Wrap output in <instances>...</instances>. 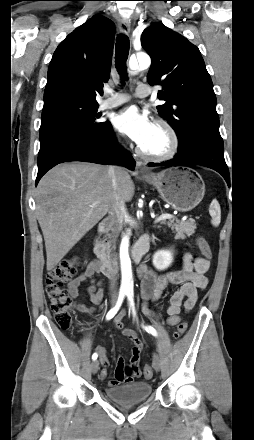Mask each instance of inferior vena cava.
I'll return each instance as SVG.
<instances>
[{
    "instance_id": "602c4592",
    "label": "inferior vena cava",
    "mask_w": 254,
    "mask_h": 440,
    "mask_svg": "<svg viewBox=\"0 0 254 440\" xmlns=\"http://www.w3.org/2000/svg\"><path fill=\"white\" fill-rule=\"evenodd\" d=\"M119 172H120V168L116 166H110L108 169V175L111 178L112 187L115 193V201L109 211L113 224L110 233V246L112 252L115 250L117 238L119 236L120 231L122 230L124 214L126 213L125 202L121 200L117 195ZM113 255L114 254L112 253V256ZM116 284H117V278L113 276L110 279V290L113 292V295L117 294Z\"/></svg>"
}]
</instances>
